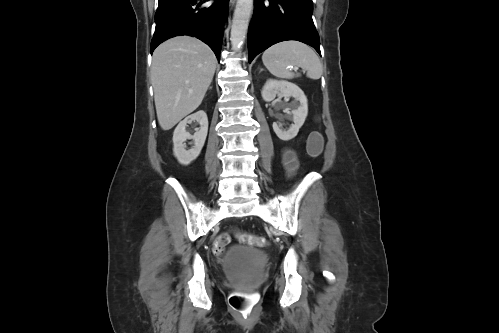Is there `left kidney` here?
<instances>
[{
  "mask_svg": "<svg viewBox=\"0 0 499 333\" xmlns=\"http://www.w3.org/2000/svg\"><path fill=\"white\" fill-rule=\"evenodd\" d=\"M261 95L266 102L274 100L276 96L295 99L291 111L293 124L286 130L283 128V123H273V130L281 140L293 139L298 134L308 114V103L304 92L294 83L270 79L265 83Z\"/></svg>",
  "mask_w": 499,
  "mask_h": 333,
  "instance_id": "5707ae66",
  "label": "left kidney"
}]
</instances>
